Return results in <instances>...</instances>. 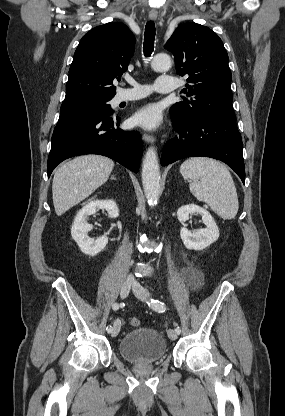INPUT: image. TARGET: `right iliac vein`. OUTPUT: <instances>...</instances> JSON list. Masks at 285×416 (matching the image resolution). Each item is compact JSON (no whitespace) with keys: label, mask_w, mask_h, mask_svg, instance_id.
<instances>
[{"label":"right iliac vein","mask_w":285,"mask_h":416,"mask_svg":"<svg viewBox=\"0 0 285 416\" xmlns=\"http://www.w3.org/2000/svg\"><path fill=\"white\" fill-rule=\"evenodd\" d=\"M133 285V282L130 280H126L121 285V292L120 295L122 298H126L130 292L131 286ZM121 327L120 320H116L113 324L111 335L112 337H115L118 335Z\"/></svg>","instance_id":"right-iliac-vein-1"}]
</instances>
